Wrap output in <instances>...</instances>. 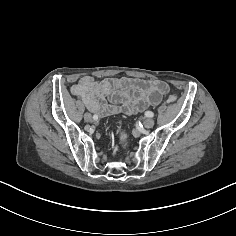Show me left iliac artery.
Returning <instances> with one entry per match:
<instances>
[{
  "mask_svg": "<svg viewBox=\"0 0 236 236\" xmlns=\"http://www.w3.org/2000/svg\"><path fill=\"white\" fill-rule=\"evenodd\" d=\"M145 116H146V117H153L154 114H153V112H151V111H146V112H145Z\"/></svg>",
  "mask_w": 236,
  "mask_h": 236,
  "instance_id": "1",
  "label": "left iliac artery"
}]
</instances>
